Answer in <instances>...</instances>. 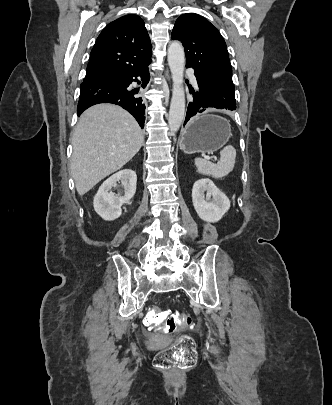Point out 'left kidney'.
<instances>
[{
  "mask_svg": "<svg viewBox=\"0 0 332 405\" xmlns=\"http://www.w3.org/2000/svg\"><path fill=\"white\" fill-rule=\"evenodd\" d=\"M192 202L198 216L209 223L221 220L230 208V200L209 179H200L194 183Z\"/></svg>",
  "mask_w": 332,
  "mask_h": 405,
  "instance_id": "1",
  "label": "left kidney"
}]
</instances>
